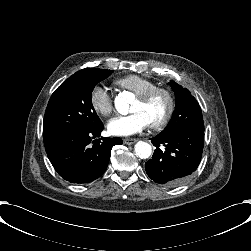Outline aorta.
Here are the masks:
<instances>
[{"mask_svg": "<svg viewBox=\"0 0 251 251\" xmlns=\"http://www.w3.org/2000/svg\"><path fill=\"white\" fill-rule=\"evenodd\" d=\"M133 100V97L129 92L119 93L115 100V108L120 114H127L129 109V103ZM135 154L141 159H147L151 153V145L144 141H138L134 146Z\"/></svg>", "mask_w": 251, "mask_h": 251, "instance_id": "1", "label": "aorta"}]
</instances>
